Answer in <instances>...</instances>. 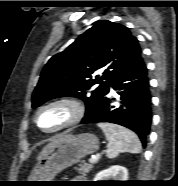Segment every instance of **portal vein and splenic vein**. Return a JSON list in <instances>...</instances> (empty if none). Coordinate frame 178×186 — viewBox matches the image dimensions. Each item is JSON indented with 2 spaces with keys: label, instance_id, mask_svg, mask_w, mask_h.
<instances>
[{
  "label": "portal vein and splenic vein",
  "instance_id": "18ae733b",
  "mask_svg": "<svg viewBox=\"0 0 178 186\" xmlns=\"http://www.w3.org/2000/svg\"><path fill=\"white\" fill-rule=\"evenodd\" d=\"M99 157H100V154L91 156V158L89 159V162L94 163Z\"/></svg>",
  "mask_w": 178,
  "mask_h": 186
}]
</instances>
